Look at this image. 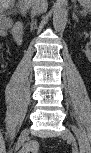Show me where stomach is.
<instances>
[{"mask_svg": "<svg viewBox=\"0 0 91 153\" xmlns=\"http://www.w3.org/2000/svg\"><path fill=\"white\" fill-rule=\"evenodd\" d=\"M84 7H86L87 9L90 8L91 5V1L90 0H80L79 1Z\"/></svg>", "mask_w": 91, "mask_h": 153, "instance_id": "0dacf381", "label": "stomach"}]
</instances>
